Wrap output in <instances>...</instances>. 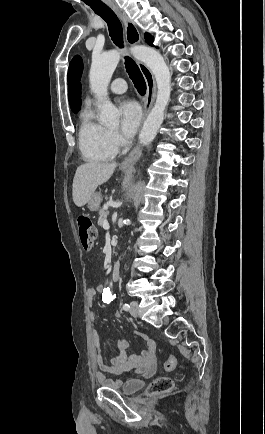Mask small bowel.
Returning <instances> with one entry per match:
<instances>
[{
  "mask_svg": "<svg viewBox=\"0 0 265 434\" xmlns=\"http://www.w3.org/2000/svg\"><path fill=\"white\" fill-rule=\"evenodd\" d=\"M106 291V288L102 284H97L95 287L89 288L86 292L87 300L89 304H93L96 295L98 293L104 294ZM90 317L92 320L95 319V314L91 312ZM116 318H121V311H116ZM137 336L142 339L146 347L145 349L140 353L136 355L129 356L127 354V349L129 347V342L126 339H119L117 341V355L112 357L109 362L105 361L101 345H100V338L98 332L95 330L92 333V339L96 348L95 356H94V362L98 369L100 370L98 372L99 378H104L106 376L105 372L113 373V374H122L124 371L130 369L133 366L138 365L140 368V373L142 374L143 378L147 379L152 377L156 372V345L155 342L150 339L146 334L144 333H137ZM102 384L105 387H118L120 385V380L118 378H109L106 377Z\"/></svg>",
  "mask_w": 265,
  "mask_h": 434,
  "instance_id": "obj_1",
  "label": "small bowel"
}]
</instances>
